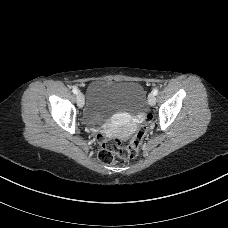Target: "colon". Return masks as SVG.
<instances>
[{"label":"colon","instance_id":"1","mask_svg":"<svg viewBox=\"0 0 228 228\" xmlns=\"http://www.w3.org/2000/svg\"><path fill=\"white\" fill-rule=\"evenodd\" d=\"M151 117L148 116L144 125L137 131L131 142L124 146L118 139L108 138L102 142V147L99 151L98 158L104 164H111L116 158L129 160L137 156L144 135L148 129V124Z\"/></svg>","mask_w":228,"mask_h":228}]
</instances>
